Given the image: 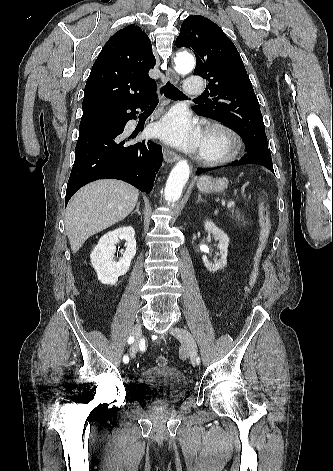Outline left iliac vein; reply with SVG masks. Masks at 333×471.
<instances>
[{
	"mask_svg": "<svg viewBox=\"0 0 333 471\" xmlns=\"http://www.w3.org/2000/svg\"><path fill=\"white\" fill-rule=\"evenodd\" d=\"M170 333L184 344L185 349L189 353L191 363L196 365L198 348L192 334L188 330L179 327H172Z\"/></svg>",
	"mask_w": 333,
	"mask_h": 471,
	"instance_id": "1",
	"label": "left iliac vein"
}]
</instances>
